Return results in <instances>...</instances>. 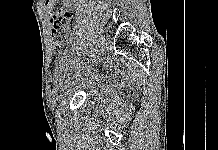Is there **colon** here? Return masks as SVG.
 Returning <instances> with one entry per match:
<instances>
[{"mask_svg":"<svg viewBox=\"0 0 218 150\" xmlns=\"http://www.w3.org/2000/svg\"><path fill=\"white\" fill-rule=\"evenodd\" d=\"M53 45L55 51H60L66 44L67 41V30L56 29L52 33Z\"/></svg>","mask_w":218,"mask_h":150,"instance_id":"obj_1","label":"colon"}]
</instances>
